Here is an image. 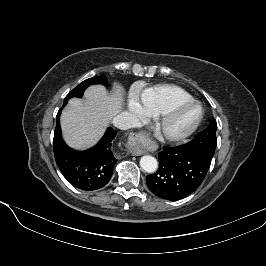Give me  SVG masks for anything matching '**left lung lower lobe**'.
I'll use <instances>...</instances> for the list:
<instances>
[{
  "instance_id": "obj_1",
  "label": "left lung lower lobe",
  "mask_w": 266,
  "mask_h": 266,
  "mask_svg": "<svg viewBox=\"0 0 266 266\" xmlns=\"http://www.w3.org/2000/svg\"><path fill=\"white\" fill-rule=\"evenodd\" d=\"M158 159L159 169L146 177V183L154 195L165 200H179L195 192L211 164L189 143L163 147Z\"/></svg>"
}]
</instances>
